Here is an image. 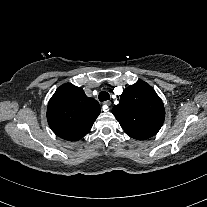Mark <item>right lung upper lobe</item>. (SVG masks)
<instances>
[{"label":"right lung upper lobe","instance_id":"1","mask_svg":"<svg viewBox=\"0 0 207 207\" xmlns=\"http://www.w3.org/2000/svg\"><path fill=\"white\" fill-rule=\"evenodd\" d=\"M99 114V103L71 83L56 90L47 108L49 126L57 136L69 141L84 137Z\"/></svg>","mask_w":207,"mask_h":207}]
</instances>
